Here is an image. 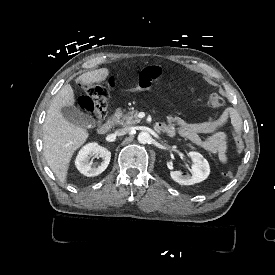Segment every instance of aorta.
<instances>
[{
	"mask_svg": "<svg viewBox=\"0 0 275 275\" xmlns=\"http://www.w3.org/2000/svg\"><path fill=\"white\" fill-rule=\"evenodd\" d=\"M139 143L146 144L151 141V136L148 132H140L137 137Z\"/></svg>",
	"mask_w": 275,
	"mask_h": 275,
	"instance_id": "obj_1",
	"label": "aorta"
}]
</instances>
